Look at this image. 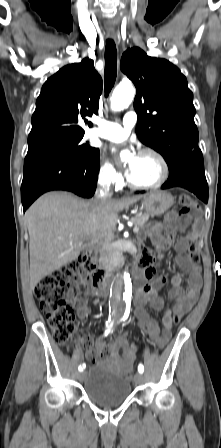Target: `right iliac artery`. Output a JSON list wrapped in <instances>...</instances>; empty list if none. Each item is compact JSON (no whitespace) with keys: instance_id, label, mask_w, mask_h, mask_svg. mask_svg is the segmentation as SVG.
<instances>
[{"instance_id":"obj_1","label":"right iliac artery","mask_w":221,"mask_h":448,"mask_svg":"<svg viewBox=\"0 0 221 448\" xmlns=\"http://www.w3.org/2000/svg\"><path fill=\"white\" fill-rule=\"evenodd\" d=\"M109 322H110V319H109ZM112 324H113V322H111L109 325H108V322L106 323V325L108 326L109 331H110V328L112 327ZM105 334H106V333H105ZM84 368H85V364L80 365V366L78 367V370H79V371H83Z\"/></svg>"}]
</instances>
